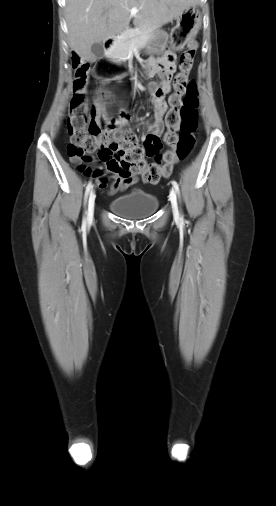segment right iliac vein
Returning <instances> with one entry per match:
<instances>
[{
    "mask_svg": "<svg viewBox=\"0 0 276 506\" xmlns=\"http://www.w3.org/2000/svg\"><path fill=\"white\" fill-rule=\"evenodd\" d=\"M94 207H95V192L94 190H91L88 200V212L87 216L89 220L93 219L94 215Z\"/></svg>",
    "mask_w": 276,
    "mask_h": 506,
    "instance_id": "right-iliac-vein-1",
    "label": "right iliac vein"
}]
</instances>
